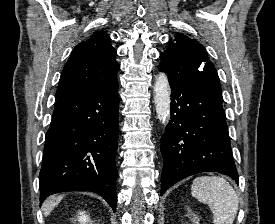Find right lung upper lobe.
Listing matches in <instances>:
<instances>
[{"mask_svg":"<svg viewBox=\"0 0 275 224\" xmlns=\"http://www.w3.org/2000/svg\"><path fill=\"white\" fill-rule=\"evenodd\" d=\"M116 50L105 31L93 34L72 51L60 77L56 100L108 87L117 81Z\"/></svg>","mask_w":275,"mask_h":224,"instance_id":"1","label":"right lung upper lobe"}]
</instances>
